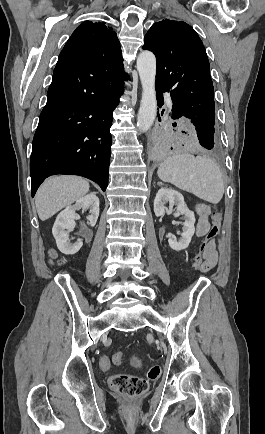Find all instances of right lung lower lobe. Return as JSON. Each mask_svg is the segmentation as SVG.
<instances>
[{
	"label": "right lung lower lobe",
	"instance_id": "98d812e1",
	"mask_svg": "<svg viewBox=\"0 0 265 434\" xmlns=\"http://www.w3.org/2000/svg\"><path fill=\"white\" fill-rule=\"evenodd\" d=\"M126 78L122 55L58 60L33 138L32 197L44 179L55 174L89 178L105 191L112 112Z\"/></svg>",
	"mask_w": 265,
	"mask_h": 434
}]
</instances>
